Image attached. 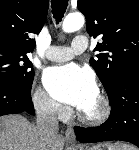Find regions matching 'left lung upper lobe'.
Here are the masks:
<instances>
[{
    "instance_id": "left-lung-upper-lobe-1",
    "label": "left lung upper lobe",
    "mask_w": 139,
    "mask_h": 150,
    "mask_svg": "<svg viewBox=\"0 0 139 150\" xmlns=\"http://www.w3.org/2000/svg\"><path fill=\"white\" fill-rule=\"evenodd\" d=\"M78 9L86 17L89 35L99 37L90 59L110 96L120 78L139 66V0H78Z\"/></svg>"
}]
</instances>
